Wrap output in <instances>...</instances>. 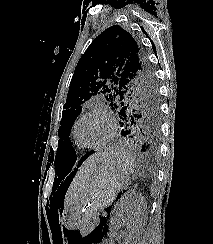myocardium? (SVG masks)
Segmentation results:
<instances>
[{
	"label": "myocardium",
	"instance_id": "myocardium-1",
	"mask_svg": "<svg viewBox=\"0 0 213 244\" xmlns=\"http://www.w3.org/2000/svg\"><path fill=\"white\" fill-rule=\"evenodd\" d=\"M94 114L101 115L106 119V121L108 122V125H109V132H108V135L106 136V138L99 144L86 145V144L82 143L80 141V139L78 138L77 129L83 119H85L86 117H88L90 115H94ZM116 132H117V123H116L113 115L111 114V112L103 106H98V107L85 111L78 117V119L75 121V123L73 125L72 136H73V139L75 140V142L84 149H99V148L106 146L108 143H110L113 140V138L115 137Z\"/></svg>",
	"mask_w": 213,
	"mask_h": 244
}]
</instances>
